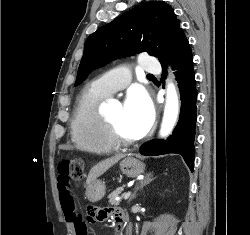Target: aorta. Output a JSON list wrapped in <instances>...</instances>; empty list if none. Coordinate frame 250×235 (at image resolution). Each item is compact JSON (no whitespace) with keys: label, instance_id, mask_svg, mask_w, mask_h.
I'll list each match as a JSON object with an SVG mask.
<instances>
[{"label":"aorta","instance_id":"762f6f07","mask_svg":"<svg viewBox=\"0 0 250 235\" xmlns=\"http://www.w3.org/2000/svg\"><path fill=\"white\" fill-rule=\"evenodd\" d=\"M179 112V102L175 87L172 83H168L166 105L164 109V116L160 129V136H167L173 129Z\"/></svg>","mask_w":250,"mask_h":235}]
</instances>
